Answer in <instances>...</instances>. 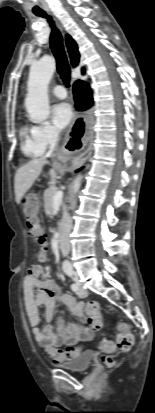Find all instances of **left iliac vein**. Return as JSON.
Masks as SVG:
<instances>
[{
  "instance_id": "4c4485c4",
  "label": "left iliac vein",
  "mask_w": 155,
  "mask_h": 413,
  "mask_svg": "<svg viewBox=\"0 0 155 413\" xmlns=\"http://www.w3.org/2000/svg\"><path fill=\"white\" fill-rule=\"evenodd\" d=\"M77 285H78V290H77V295L80 297V298H85V297H87V295H88V292H87V290H85L82 286H81V284L80 283H78L77 282Z\"/></svg>"
}]
</instances>
